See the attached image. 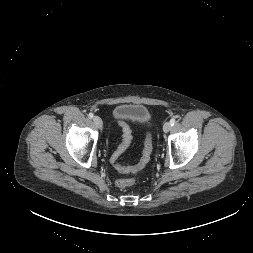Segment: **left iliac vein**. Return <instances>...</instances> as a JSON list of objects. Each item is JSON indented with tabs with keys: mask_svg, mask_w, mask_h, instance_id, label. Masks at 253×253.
<instances>
[{
	"mask_svg": "<svg viewBox=\"0 0 253 253\" xmlns=\"http://www.w3.org/2000/svg\"><path fill=\"white\" fill-rule=\"evenodd\" d=\"M171 129V123L170 122H166L164 125H163V131L165 133H168Z\"/></svg>",
	"mask_w": 253,
	"mask_h": 253,
	"instance_id": "4c4485c4",
	"label": "left iliac vein"
}]
</instances>
